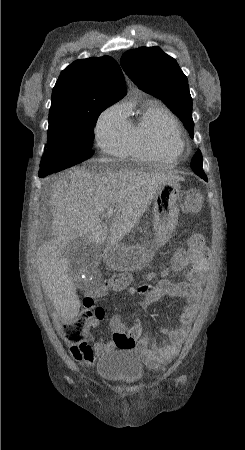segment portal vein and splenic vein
Masks as SVG:
<instances>
[{"instance_id": "obj_1", "label": "portal vein and splenic vein", "mask_w": 245, "mask_h": 450, "mask_svg": "<svg viewBox=\"0 0 245 450\" xmlns=\"http://www.w3.org/2000/svg\"><path fill=\"white\" fill-rule=\"evenodd\" d=\"M113 213H114V209H113L112 207L109 208V210H108V212H107V217H108V218L111 217Z\"/></svg>"}]
</instances>
